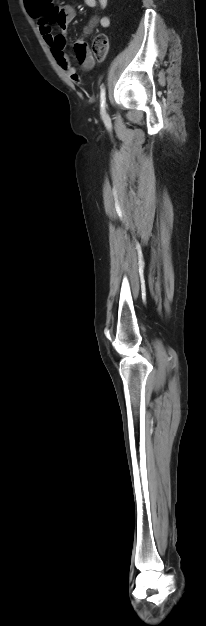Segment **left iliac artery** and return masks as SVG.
Instances as JSON below:
<instances>
[{"label":"left iliac artery","mask_w":206,"mask_h":626,"mask_svg":"<svg viewBox=\"0 0 206 626\" xmlns=\"http://www.w3.org/2000/svg\"><path fill=\"white\" fill-rule=\"evenodd\" d=\"M106 92H105V87L102 86L101 87V91H100V103H101V111L104 112L105 109V105H106Z\"/></svg>","instance_id":"44dca946"}]
</instances>
